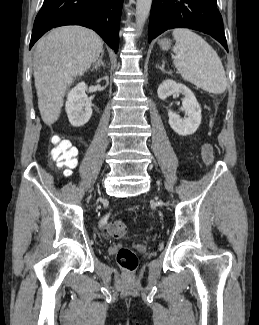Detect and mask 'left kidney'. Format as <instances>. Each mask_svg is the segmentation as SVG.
<instances>
[{"label":"left kidney","mask_w":259,"mask_h":325,"mask_svg":"<svg viewBox=\"0 0 259 325\" xmlns=\"http://www.w3.org/2000/svg\"><path fill=\"white\" fill-rule=\"evenodd\" d=\"M157 92L158 97L163 101L175 93L184 95L182 106L187 117L182 120L175 112L168 110L169 125L181 136L191 135L196 132L201 123V108L193 92L185 85L176 83L173 80L163 81Z\"/></svg>","instance_id":"obj_1"}]
</instances>
